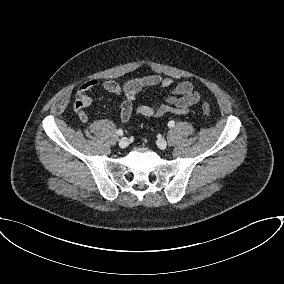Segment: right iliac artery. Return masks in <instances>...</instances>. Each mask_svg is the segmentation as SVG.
I'll return each mask as SVG.
<instances>
[{
	"label": "right iliac artery",
	"instance_id": "right-iliac-artery-1",
	"mask_svg": "<svg viewBox=\"0 0 284 284\" xmlns=\"http://www.w3.org/2000/svg\"><path fill=\"white\" fill-rule=\"evenodd\" d=\"M117 134H118L119 136H121V135H123V131H122L121 129H119V130L117 131Z\"/></svg>",
	"mask_w": 284,
	"mask_h": 284
}]
</instances>
